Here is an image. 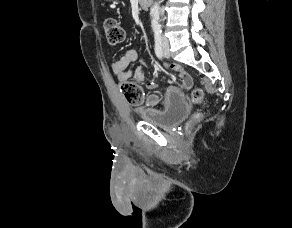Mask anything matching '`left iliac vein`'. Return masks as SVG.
<instances>
[{"label":"left iliac vein","instance_id":"4c4485c4","mask_svg":"<svg viewBox=\"0 0 292 228\" xmlns=\"http://www.w3.org/2000/svg\"><path fill=\"white\" fill-rule=\"evenodd\" d=\"M164 56L166 58L169 57V50H168V44L166 42H164Z\"/></svg>","mask_w":292,"mask_h":228}]
</instances>
